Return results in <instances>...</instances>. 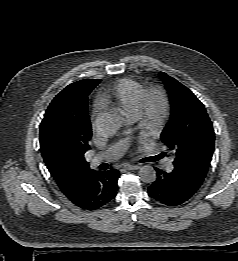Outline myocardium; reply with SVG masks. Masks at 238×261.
<instances>
[{
  "instance_id": "f54148a6",
  "label": "myocardium",
  "mask_w": 238,
  "mask_h": 261,
  "mask_svg": "<svg viewBox=\"0 0 238 261\" xmlns=\"http://www.w3.org/2000/svg\"><path fill=\"white\" fill-rule=\"evenodd\" d=\"M171 111V101L166 89L154 84L146 88L141 96L138 112L134 118L142 131L152 135L167 123Z\"/></svg>"
}]
</instances>
